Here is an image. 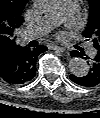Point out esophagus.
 I'll return each instance as SVG.
<instances>
[{
  "mask_svg": "<svg viewBox=\"0 0 100 118\" xmlns=\"http://www.w3.org/2000/svg\"><path fill=\"white\" fill-rule=\"evenodd\" d=\"M51 48L53 50H56V51H59V52H64L65 51V49L63 47L56 46V45L51 46Z\"/></svg>",
  "mask_w": 100,
  "mask_h": 118,
  "instance_id": "34e87169",
  "label": "esophagus"
}]
</instances>
